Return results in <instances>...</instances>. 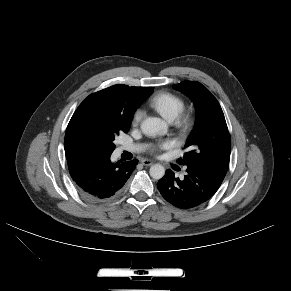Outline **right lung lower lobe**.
Here are the masks:
<instances>
[{
    "label": "right lung lower lobe",
    "mask_w": 291,
    "mask_h": 291,
    "mask_svg": "<svg viewBox=\"0 0 291 291\" xmlns=\"http://www.w3.org/2000/svg\"><path fill=\"white\" fill-rule=\"evenodd\" d=\"M110 156L86 151L67 159L70 175L85 199L98 202L114 197L137 165V160L112 163Z\"/></svg>",
    "instance_id": "98d812e1"
}]
</instances>
